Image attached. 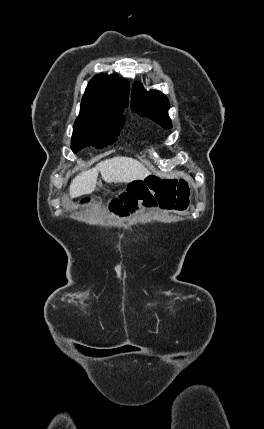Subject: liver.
Listing matches in <instances>:
<instances>
[{
    "instance_id": "obj_1",
    "label": "liver",
    "mask_w": 264,
    "mask_h": 429,
    "mask_svg": "<svg viewBox=\"0 0 264 429\" xmlns=\"http://www.w3.org/2000/svg\"><path fill=\"white\" fill-rule=\"evenodd\" d=\"M99 172L107 183H130L143 179L150 173L139 161L132 158L121 156L107 159L92 169L82 171L72 180L69 187L71 198L91 194L96 188Z\"/></svg>"
}]
</instances>
